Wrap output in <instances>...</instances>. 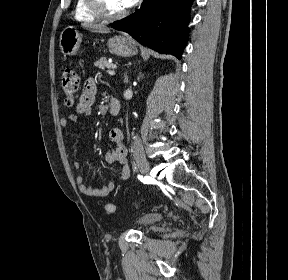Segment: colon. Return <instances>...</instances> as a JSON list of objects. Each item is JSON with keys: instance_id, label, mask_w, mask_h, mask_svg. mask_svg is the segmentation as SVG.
Wrapping results in <instances>:
<instances>
[{"instance_id": "colon-1", "label": "colon", "mask_w": 288, "mask_h": 280, "mask_svg": "<svg viewBox=\"0 0 288 280\" xmlns=\"http://www.w3.org/2000/svg\"><path fill=\"white\" fill-rule=\"evenodd\" d=\"M79 84L80 78L76 69L72 66L67 67L62 74V87L66 96L67 105H72L74 103ZM136 206H139V204ZM105 210L108 214H114L116 209L113 204L108 203L105 205Z\"/></svg>"}]
</instances>
